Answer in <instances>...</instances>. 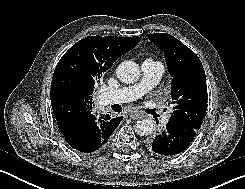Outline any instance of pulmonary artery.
Segmentation results:
<instances>
[{
	"label": "pulmonary artery",
	"instance_id": "e3ab8cb5",
	"mask_svg": "<svg viewBox=\"0 0 245 189\" xmlns=\"http://www.w3.org/2000/svg\"><path fill=\"white\" fill-rule=\"evenodd\" d=\"M141 72L142 78L138 83L102 93L104 103L106 105L127 103L139 99L158 84L164 72V66L161 62L146 59L141 63ZM167 120L168 116L164 121Z\"/></svg>",
	"mask_w": 245,
	"mask_h": 189
}]
</instances>
